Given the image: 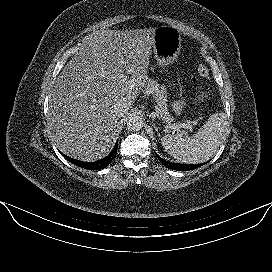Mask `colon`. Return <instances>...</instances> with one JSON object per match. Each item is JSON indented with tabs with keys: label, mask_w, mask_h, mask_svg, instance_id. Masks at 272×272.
I'll return each mask as SVG.
<instances>
[{
	"label": "colon",
	"mask_w": 272,
	"mask_h": 272,
	"mask_svg": "<svg viewBox=\"0 0 272 272\" xmlns=\"http://www.w3.org/2000/svg\"><path fill=\"white\" fill-rule=\"evenodd\" d=\"M198 72L203 77L208 76V69L203 64L199 65ZM209 96H210V90H206L204 92L197 94L194 97H181V98L175 100L171 104V112L175 117H179V118L186 117L187 114H186L185 110L189 105H191L193 103H198V102L204 101Z\"/></svg>",
	"instance_id": "colon-1"
}]
</instances>
